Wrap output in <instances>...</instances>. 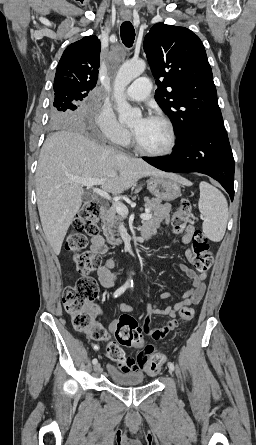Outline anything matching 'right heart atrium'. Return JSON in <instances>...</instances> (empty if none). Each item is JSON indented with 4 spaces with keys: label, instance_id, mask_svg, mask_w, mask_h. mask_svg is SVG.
<instances>
[{
    "label": "right heart atrium",
    "instance_id": "1",
    "mask_svg": "<svg viewBox=\"0 0 256 445\" xmlns=\"http://www.w3.org/2000/svg\"><path fill=\"white\" fill-rule=\"evenodd\" d=\"M95 124L109 143L125 144L129 139V132L125 129L113 111L105 105H101L94 115Z\"/></svg>",
    "mask_w": 256,
    "mask_h": 445
}]
</instances>
